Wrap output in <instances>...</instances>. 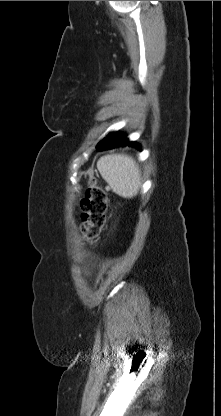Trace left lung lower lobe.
I'll return each mask as SVG.
<instances>
[{
    "label": "left lung lower lobe",
    "instance_id": "0a47b994",
    "mask_svg": "<svg viewBox=\"0 0 221 416\" xmlns=\"http://www.w3.org/2000/svg\"><path fill=\"white\" fill-rule=\"evenodd\" d=\"M125 145L133 146V147H136V148L140 149L139 144H137L135 142H129L128 139H126V137L123 136V137L116 138L114 140L101 141L97 145V150L102 151V150H105V149H110V148H115V147H118V146H125Z\"/></svg>",
    "mask_w": 221,
    "mask_h": 416
}]
</instances>
